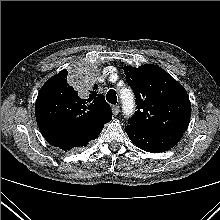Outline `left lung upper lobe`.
I'll return each instance as SVG.
<instances>
[{
	"mask_svg": "<svg viewBox=\"0 0 220 220\" xmlns=\"http://www.w3.org/2000/svg\"><path fill=\"white\" fill-rule=\"evenodd\" d=\"M136 97L137 111L128 120L135 129L155 133H179L187 129L191 105L181 84L161 67L148 64L123 67Z\"/></svg>",
	"mask_w": 220,
	"mask_h": 220,
	"instance_id": "1",
	"label": "left lung upper lobe"
}]
</instances>
